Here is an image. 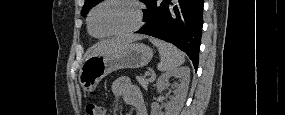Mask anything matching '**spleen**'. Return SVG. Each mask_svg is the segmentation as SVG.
<instances>
[{"mask_svg": "<svg viewBox=\"0 0 285 115\" xmlns=\"http://www.w3.org/2000/svg\"><path fill=\"white\" fill-rule=\"evenodd\" d=\"M149 41L158 48L160 63L157 68L159 71H172L185 62L184 54L172 44L156 38H149Z\"/></svg>", "mask_w": 285, "mask_h": 115, "instance_id": "obj_1", "label": "spleen"}]
</instances>
